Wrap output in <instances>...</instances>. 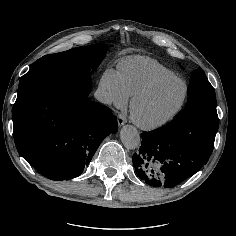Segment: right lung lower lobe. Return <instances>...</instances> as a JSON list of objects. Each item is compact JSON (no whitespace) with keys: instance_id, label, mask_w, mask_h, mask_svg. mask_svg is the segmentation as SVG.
Instances as JSON below:
<instances>
[{"instance_id":"1","label":"right lung lower lobe","mask_w":236,"mask_h":236,"mask_svg":"<svg viewBox=\"0 0 236 236\" xmlns=\"http://www.w3.org/2000/svg\"><path fill=\"white\" fill-rule=\"evenodd\" d=\"M86 75L34 87L12 110L19 153L43 176L69 180L89 164L102 140L118 131L111 110L88 98Z\"/></svg>"}]
</instances>
